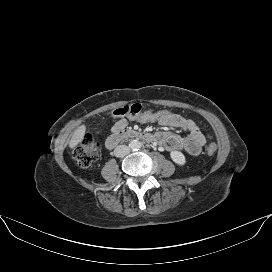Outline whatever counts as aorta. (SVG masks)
<instances>
[{"mask_svg":"<svg viewBox=\"0 0 272 272\" xmlns=\"http://www.w3.org/2000/svg\"><path fill=\"white\" fill-rule=\"evenodd\" d=\"M141 146H142V144H141L140 141H138V140H132V141L129 142V146L128 147L131 150H133V151H137V150H139L141 148Z\"/></svg>","mask_w":272,"mask_h":272,"instance_id":"obj_1","label":"aorta"}]
</instances>
